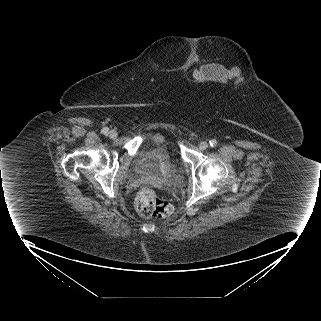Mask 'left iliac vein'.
I'll return each instance as SVG.
<instances>
[{
	"label": "left iliac vein",
	"instance_id": "left-iliac-vein-1",
	"mask_svg": "<svg viewBox=\"0 0 321 321\" xmlns=\"http://www.w3.org/2000/svg\"><path fill=\"white\" fill-rule=\"evenodd\" d=\"M208 147H209V144H208L206 141H202V142H200V144H199V148H200L201 150H206Z\"/></svg>",
	"mask_w": 321,
	"mask_h": 321
}]
</instances>
